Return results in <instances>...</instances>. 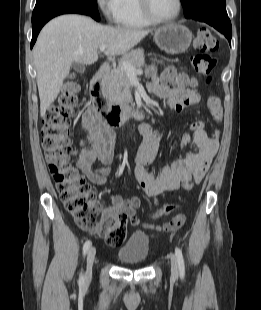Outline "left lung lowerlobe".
I'll return each instance as SVG.
<instances>
[{
	"mask_svg": "<svg viewBox=\"0 0 261 310\" xmlns=\"http://www.w3.org/2000/svg\"><path fill=\"white\" fill-rule=\"evenodd\" d=\"M198 21L205 22L210 26H213L216 30H218L222 34H224L231 45L232 27L228 16L205 18L200 19Z\"/></svg>",
	"mask_w": 261,
	"mask_h": 310,
	"instance_id": "0a47b994",
	"label": "left lung lower lobe"
}]
</instances>
